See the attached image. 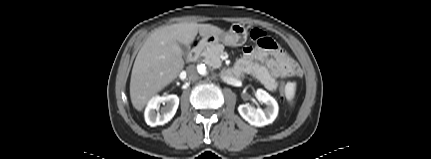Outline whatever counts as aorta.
Masks as SVG:
<instances>
[{"instance_id": "aorta-1", "label": "aorta", "mask_w": 431, "mask_h": 159, "mask_svg": "<svg viewBox=\"0 0 431 159\" xmlns=\"http://www.w3.org/2000/svg\"><path fill=\"white\" fill-rule=\"evenodd\" d=\"M197 70L199 71V74L205 77L206 79H209L212 76L209 66L205 65L204 63H199L197 65Z\"/></svg>"}]
</instances>
